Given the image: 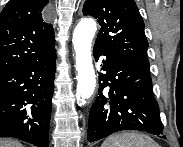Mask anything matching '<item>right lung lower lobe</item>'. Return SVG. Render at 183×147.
<instances>
[{
	"label": "right lung lower lobe",
	"instance_id": "98d812e1",
	"mask_svg": "<svg viewBox=\"0 0 183 147\" xmlns=\"http://www.w3.org/2000/svg\"><path fill=\"white\" fill-rule=\"evenodd\" d=\"M55 51L0 74V137L49 147Z\"/></svg>",
	"mask_w": 183,
	"mask_h": 147
}]
</instances>
